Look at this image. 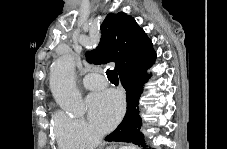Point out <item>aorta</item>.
Wrapping results in <instances>:
<instances>
[{
    "mask_svg": "<svg viewBox=\"0 0 227 149\" xmlns=\"http://www.w3.org/2000/svg\"><path fill=\"white\" fill-rule=\"evenodd\" d=\"M50 87L55 101L71 116L84 114L82 96L75 84L74 61L63 56L51 65Z\"/></svg>",
    "mask_w": 227,
    "mask_h": 149,
    "instance_id": "762f6f07",
    "label": "aorta"
}]
</instances>
